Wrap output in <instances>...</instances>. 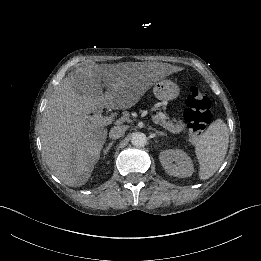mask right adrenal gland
<instances>
[{"label": "right adrenal gland", "instance_id": "2a0ac1e0", "mask_svg": "<svg viewBox=\"0 0 261 261\" xmlns=\"http://www.w3.org/2000/svg\"><path fill=\"white\" fill-rule=\"evenodd\" d=\"M113 143H114V141L110 142L108 144V146L103 150L104 157H105V155H107L108 151L111 149Z\"/></svg>", "mask_w": 261, "mask_h": 261}]
</instances>
